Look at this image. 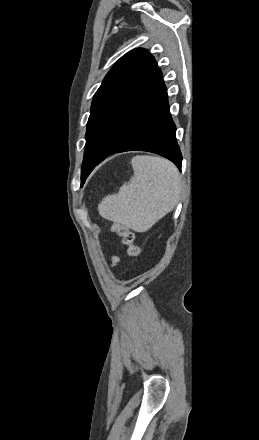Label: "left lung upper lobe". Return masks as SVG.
<instances>
[{
  "label": "left lung upper lobe",
  "instance_id": "1",
  "mask_svg": "<svg viewBox=\"0 0 259 440\" xmlns=\"http://www.w3.org/2000/svg\"><path fill=\"white\" fill-rule=\"evenodd\" d=\"M157 63L145 49H134L110 69L95 93L85 135L82 184L117 126L150 83Z\"/></svg>",
  "mask_w": 259,
  "mask_h": 440
}]
</instances>
